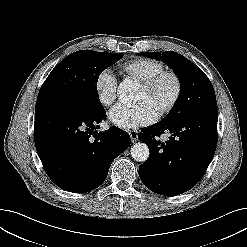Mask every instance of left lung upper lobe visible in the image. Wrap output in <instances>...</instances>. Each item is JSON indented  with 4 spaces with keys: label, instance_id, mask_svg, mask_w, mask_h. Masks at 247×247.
I'll use <instances>...</instances> for the list:
<instances>
[{
    "label": "left lung upper lobe",
    "instance_id": "left-lung-upper-lobe-1",
    "mask_svg": "<svg viewBox=\"0 0 247 247\" xmlns=\"http://www.w3.org/2000/svg\"><path fill=\"white\" fill-rule=\"evenodd\" d=\"M140 55L161 59L178 76L181 91L178 99L164 122L196 116L199 114L218 115L213 86L205 73L187 58L173 51L142 52Z\"/></svg>",
    "mask_w": 247,
    "mask_h": 247
}]
</instances>
